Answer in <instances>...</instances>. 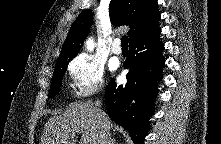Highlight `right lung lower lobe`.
<instances>
[{"label":"right lung lower lobe","mask_w":221,"mask_h":144,"mask_svg":"<svg viewBox=\"0 0 221 144\" xmlns=\"http://www.w3.org/2000/svg\"><path fill=\"white\" fill-rule=\"evenodd\" d=\"M157 25L129 42L130 55L124 63L128 69L127 84L117 86L114 79L106 90L108 115L130 133L135 144H143L149 130V118L154 114L157 82L162 80L165 59Z\"/></svg>","instance_id":"right-lung-lower-lobe-1"}]
</instances>
